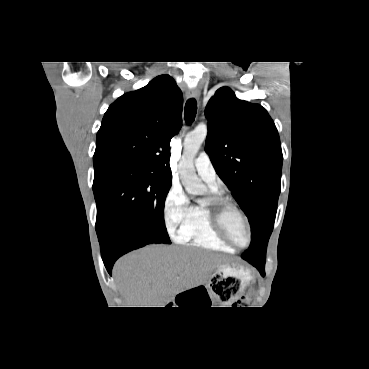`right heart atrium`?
Wrapping results in <instances>:
<instances>
[{
  "instance_id": "d8ad5b80",
  "label": "right heart atrium",
  "mask_w": 369,
  "mask_h": 369,
  "mask_svg": "<svg viewBox=\"0 0 369 369\" xmlns=\"http://www.w3.org/2000/svg\"><path fill=\"white\" fill-rule=\"evenodd\" d=\"M190 202L181 185L174 183L168 190L164 205V221L168 232L178 237V233L190 213Z\"/></svg>"
}]
</instances>
